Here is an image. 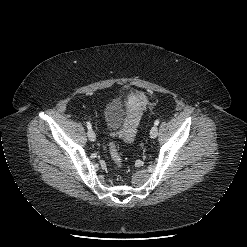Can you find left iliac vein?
<instances>
[{
	"mask_svg": "<svg viewBox=\"0 0 247 247\" xmlns=\"http://www.w3.org/2000/svg\"><path fill=\"white\" fill-rule=\"evenodd\" d=\"M157 135H158V127L154 125L150 130V137L154 139L157 137Z\"/></svg>",
	"mask_w": 247,
	"mask_h": 247,
	"instance_id": "4c4485c4",
	"label": "left iliac vein"
}]
</instances>
